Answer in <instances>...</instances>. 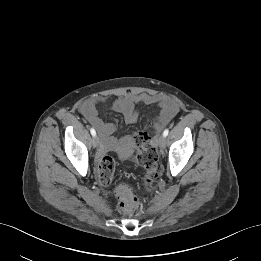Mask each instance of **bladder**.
<instances>
[{
    "label": "bladder",
    "mask_w": 261,
    "mask_h": 261,
    "mask_svg": "<svg viewBox=\"0 0 261 261\" xmlns=\"http://www.w3.org/2000/svg\"><path fill=\"white\" fill-rule=\"evenodd\" d=\"M119 151L121 152V157L122 158H127V157H129L132 154V149L131 148H128L127 150L121 148Z\"/></svg>",
    "instance_id": "obj_1"
}]
</instances>
